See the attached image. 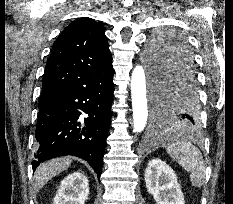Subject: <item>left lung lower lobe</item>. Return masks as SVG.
I'll return each instance as SVG.
<instances>
[{
	"instance_id": "0a47b994",
	"label": "left lung lower lobe",
	"mask_w": 233,
	"mask_h": 204,
	"mask_svg": "<svg viewBox=\"0 0 233 204\" xmlns=\"http://www.w3.org/2000/svg\"><path fill=\"white\" fill-rule=\"evenodd\" d=\"M169 62L171 64L167 66L164 73L157 78H152L154 113L149 140L173 131L196 133L200 130L199 118L196 119V125L191 130L181 125V121L186 116L174 115L183 100H189L192 105L199 107V93L193 58L185 53H179L171 56ZM161 105H166L167 111L162 112L160 110Z\"/></svg>"
}]
</instances>
